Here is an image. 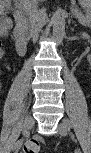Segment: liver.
<instances>
[{
	"instance_id": "1",
	"label": "liver",
	"mask_w": 91,
	"mask_h": 153,
	"mask_svg": "<svg viewBox=\"0 0 91 153\" xmlns=\"http://www.w3.org/2000/svg\"><path fill=\"white\" fill-rule=\"evenodd\" d=\"M2 3H5L7 2L6 4L9 6L10 5V0H2L1 1ZM29 6L30 7V10H32V12H35L34 10L36 9L37 7V0H24L23 1V7H27Z\"/></svg>"
}]
</instances>
